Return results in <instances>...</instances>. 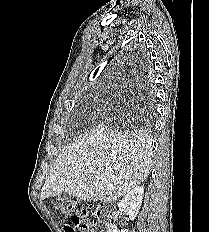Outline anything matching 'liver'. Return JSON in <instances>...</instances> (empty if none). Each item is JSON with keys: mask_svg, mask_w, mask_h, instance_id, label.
Here are the masks:
<instances>
[{"mask_svg": "<svg viewBox=\"0 0 209 232\" xmlns=\"http://www.w3.org/2000/svg\"><path fill=\"white\" fill-rule=\"evenodd\" d=\"M152 158V140L145 132L94 130L62 152L41 199L67 193L88 202L115 201L144 181Z\"/></svg>", "mask_w": 209, "mask_h": 232, "instance_id": "liver-1", "label": "liver"}]
</instances>
